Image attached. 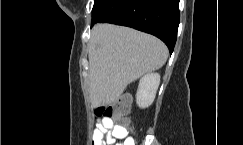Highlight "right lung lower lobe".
<instances>
[{
  "mask_svg": "<svg viewBox=\"0 0 243 145\" xmlns=\"http://www.w3.org/2000/svg\"><path fill=\"white\" fill-rule=\"evenodd\" d=\"M180 21L179 0H95L91 26L113 23L160 38L173 52Z\"/></svg>",
  "mask_w": 243,
  "mask_h": 145,
  "instance_id": "right-lung-lower-lobe-1",
  "label": "right lung lower lobe"
}]
</instances>
